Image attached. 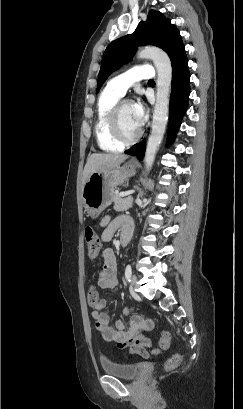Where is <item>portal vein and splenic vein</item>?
I'll list each match as a JSON object with an SVG mask.
<instances>
[{
	"label": "portal vein and splenic vein",
	"instance_id": "1",
	"mask_svg": "<svg viewBox=\"0 0 243 409\" xmlns=\"http://www.w3.org/2000/svg\"><path fill=\"white\" fill-rule=\"evenodd\" d=\"M132 193H134V191H129V192H122V193H120V196H127V195H130V194H132Z\"/></svg>",
	"mask_w": 243,
	"mask_h": 409
}]
</instances>
